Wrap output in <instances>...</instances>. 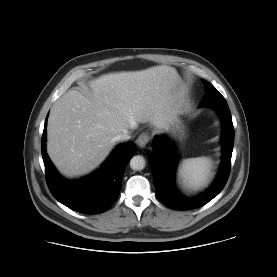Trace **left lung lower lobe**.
I'll return each mask as SVG.
<instances>
[{
  "label": "left lung lower lobe",
  "mask_w": 277,
  "mask_h": 277,
  "mask_svg": "<svg viewBox=\"0 0 277 277\" xmlns=\"http://www.w3.org/2000/svg\"><path fill=\"white\" fill-rule=\"evenodd\" d=\"M220 115L222 133V163L218 176L213 185L198 198L188 199L183 197L175 188V169L177 165L176 149L166 135L155 136L152 142V153L149 164L152 170L156 193L168 207L176 210H191L199 208L224 188L230 172L231 156L234 145V127L232 117L226 101L209 104Z\"/></svg>",
  "instance_id": "1"
}]
</instances>
